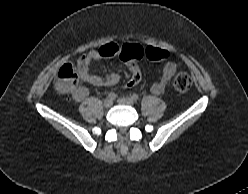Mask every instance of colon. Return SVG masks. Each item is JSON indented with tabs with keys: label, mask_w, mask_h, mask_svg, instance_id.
<instances>
[{
	"label": "colon",
	"mask_w": 248,
	"mask_h": 194,
	"mask_svg": "<svg viewBox=\"0 0 248 194\" xmlns=\"http://www.w3.org/2000/svg\"><path fill=\"white\" fill-rule=\"evenodd\" d=\"M171 57L168 52L159 55V61L168 62L171 61ZM140 70L136 67L132 72V80L137 83L140 80ZM79 74L77 69L72 63L64 64L58 73V77L55 82L56 89L60 92L67 93L72 92L78 85ZM192 86V78L186 72H179L173 79V87L176 91L184 93Z\"/></svg>",
	"instance_id": "obj_1"
}]
</instances>
